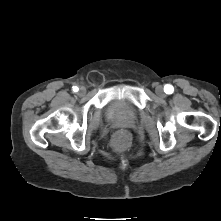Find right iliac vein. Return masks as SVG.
<instances>
[{
	"instance_id": "right-iliac-vein-1",
	"label": "right iliac vein",
	"mask_w": 221,
	"mask_h": 221,
	"mask_svg": "<svg viewBox=\"0 0 221 221\" xmlns=\"http://www.w3.org/2000/svg\"><path fill=\"white\" fill-rule=\"evenodd\" d=\"M85 93H86V89L84 87H81L78 94L83 96V95H85Z\"/></svg>"
}]
</instances>
